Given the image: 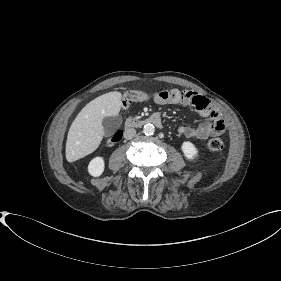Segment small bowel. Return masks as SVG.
Here are the masks:
<instances>
[{"mask_svg": "<svg viewBox=\"0 0 281 281\" xmlns=\"http://www.w3.org/2000/svg\"><path fill=\"white\" fill-rule=\"evenodd\" d=\"M154 102L158 105H180L195 107L207 120L197 127L180 126L178 133L185 137L207 139L224 133L226 125L219 109L208 98L189 90L171 89L156 93Z\"/></svg>", "mask_w": 281, "mask_h": 281, "instance_id": "obj_1", "label": "small bowel"}]
</instances>
